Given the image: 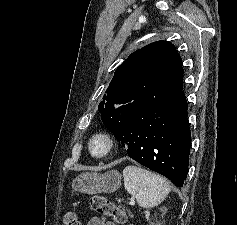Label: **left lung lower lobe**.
Listing matches in <instances>:
<instances>
[{"mask_svg": "<svg viewBox=\"0 0 237 225\" xmlns=\"http://www.w3.org/2000/svg\"><path fill=\"white\" fill-rule=\"evenodd\" d=\"M115 137L129 157L183 186L191 146L183 91L136 113Z\"/></svg>", "mask_w": 237, "mask_h": 225, "instance_id": "0a47b994", "label": "left lung lower lobe"}]
</instances>
